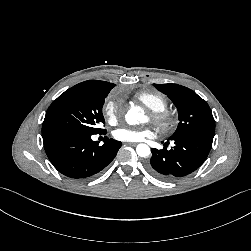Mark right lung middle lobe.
<instances>
[{
    "mask_svg": "<svg viewBox=\"0 0 251 251\" xmlns=\"http://www.w3.org/2000/svg\"><path fill=\"white\" fill-rule=\"evenodd\" d=\"M109 92L73 86L62 93L48 108L42 125V137L55 133L100 134L105 123L102 114Z\"/></svg>",
    "mask_w": 251,
    "mask_h": 251,
    "instance_id": "dd1d6c3e",
    "label": "right lung middle lobe"
}]
</instances>
